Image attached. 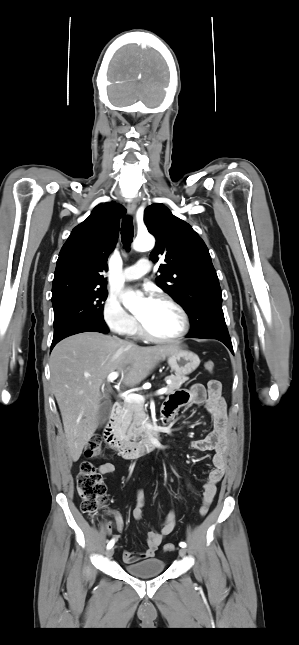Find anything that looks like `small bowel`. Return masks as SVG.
<instances>
[{"mask_svg":"<svg viewBox=\"0 0 299 645\" xmlns=\"http://www.w3.org/2000/svg\"><path fill=\"white\" fill-rule=\"evenodd\" d=\"M204 405L208 414L213 421L212 431L203 439L192 442V447L199 451L214 450L212 458L213 468L208 472L207 479L202 486L203 503L209 505L216 492L217 485L222 480L227 466V456L229 450V432L227 425L226 403L221 395V386L214 390L209 387L205 388L202 384H194L187 390H180L172 394L165 402L162 409L164 421H168L177 413V411L189 405ZM100 474H109L115 470V466L106 462L99 466ZM191 489L193 487L188 485ZM145 505V494L143 490L137 492V503L132 509V516L135 520H140L143 516V507ZM114 523L119 532L124 529V521L117 511H111ZM176 526V514L171 511L164 518L159 531H149L147 533L146 549L142 552H123V561L126 564H133L139 561L153 558L158 547L163 540L172 533Z\"/></svg>","mask_w":299,"mask_h":645,"instance_id":"obj_1","label":"small bowel"}]
</instances>
